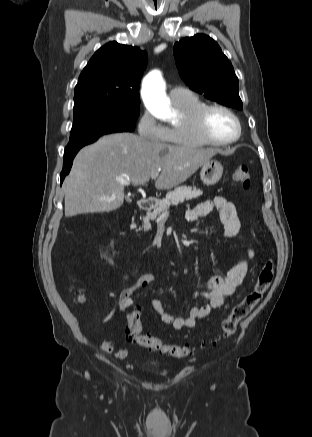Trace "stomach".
I'll return each instance as SVG.
<instances>
[{"label": "stomach", "instance_id": "1", "mask_svg": "<svg viewBox=\"0 0 312 437\" xmlns=\"http://www.w3.org/2000/svg\"><path fill=\"white\" fill-rule=\"evenodd\" d=\"M222 174L223 167L216 160H209L201 166L200 178L207 186L216 184L221 179Z\"/></svg>", "mask_w": 312, "mask_h": 437}]
</instances>
